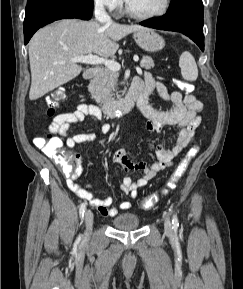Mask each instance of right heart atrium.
Segmentation results:
<instances>
[{
    "instance_id": "d8ad5b80",
    "label": "right heart atrium",
    "mask_w": 243,
    "mask_h": 289,
    "mask_svg": "<svg viewBox=\"0 0 243 289\" xmlns=\"http://www.w3.org/2000/svg\"><path fill=\"white\" fill-rule=\"evenodd\" d=\"M95 3L111 12H118L122 6L121 0H94Z\"/></svg>"
}]
</instances>
